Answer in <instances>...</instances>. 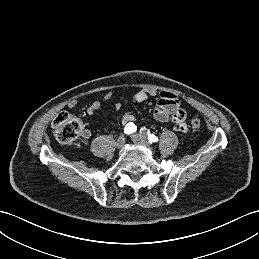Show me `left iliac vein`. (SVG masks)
<instances>
[{
  "mask_svg": "<svg viewBox=\"0 0 259 259\" xmlns=\"http://www.w3.org/2000/svg\"><path fill=\"white\" fill-rule=\"evenodd\" d=\"M131 139L134 143L142 144V145H148V142L145 138L139 136L138 134H133L131 136Z\"/></svg>",
  "mask_w": 259,
  "mask_h": 259,
  "instance_id": "1",
  "label": "left iliac vein"
}]
</instances>
